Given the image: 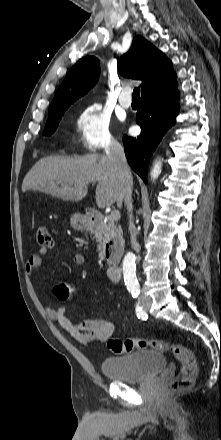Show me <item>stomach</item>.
<instances>
[{"instance_id":"0dacf381","label":"stomach","mask_w":221,"mask_h":440,"mask_svg":"<svg viewBox=\"0 0 221 440\" xmlns=\"http://www.w3.org/2000/svg\"><path fill=\"white\" fill-rule=\"evenodd\" d=\"M70 224L74 229L83 231L88 229L92 223L88 216L76 213L71 217Z\"/></svg>"}]
</instances>
